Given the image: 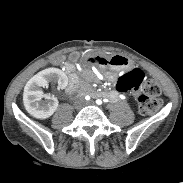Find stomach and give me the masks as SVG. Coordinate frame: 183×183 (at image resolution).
Here are the masks:
<instances>
[{"instance_id":"0dacf381","label":"stomach","mask_w":183,"mask_h":183,"mask_svg":"<svg viewBox=\"0 0 183 183\" xmlns=\"http://www.w3.org/2000/svg\"><path fill=\"white\" fill-rule=\"evenodd\" d=\"M130 61L128 58L122 55H112L106 58H103L101 63L102 67H109L111 70L114 71H121L128 69L130 67Z\"/></svg>"}]
</instances>
